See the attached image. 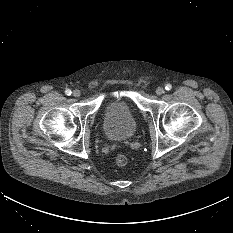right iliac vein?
<instances>
[{
	"instance_id": "63e3f726",
	"label": "right iliac vein",
	"mask_w": 233,
	"mask_h": 233,
	"mask_svg": "<svg viewBox=\"0 0 233 233\" xmlns=\"http://www.w3.org/2000/svg\"><path fill=\"white\" fill-rule=\"evenodd\" d=\"M72 95L74 96V97H79L80 95H81V92L79 91V90H74L73 92H72Z\"/></svg>"
}]
</instances>
